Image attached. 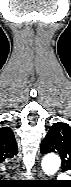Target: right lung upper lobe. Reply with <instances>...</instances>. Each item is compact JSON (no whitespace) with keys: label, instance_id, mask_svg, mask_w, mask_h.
<instances>
[{"label":"right lung upper lobe","instance_id":"cb5924a9","mask_svg":"<svg viewBox=\"0 0 71 187\" xmlns=\"http://www.w3.org/2000/svg\"><path fill=\"white\" fill-rule=\"evenodd\" d=\"M17 143L9 127L0 128V156L4 161H9L17 155Z\"/></svg>","mask_w":71,"mask_h":187}]
</instances>
